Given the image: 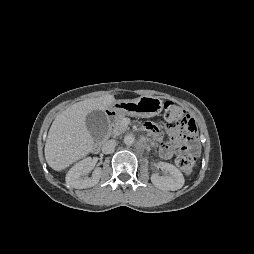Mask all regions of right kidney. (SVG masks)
Masks as SVG:
<instances>
[{
	"instance_id": "1",
	"label": "right kidney",
	"mask_w": 254,
	"mask_h": 254,
	"mask_svg": "<svg viewBox=\"0 0 254 254\" xmlns=\"http://www.w3.org/2000/svg\"><path fill=\"white\" fill-rule=\"evenodd\" d=\"M92 159L90 157L76 163L66 175V183L73 188L84 189L96 185L101 177V168L93 171L91 177L85 175V172L92 167Z\"/></svg>"
}]
</instances>
